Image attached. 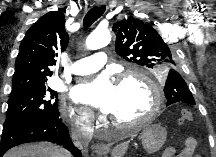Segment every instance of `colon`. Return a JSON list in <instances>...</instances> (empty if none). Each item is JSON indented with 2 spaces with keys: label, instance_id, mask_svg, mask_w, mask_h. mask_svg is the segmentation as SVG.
Listing matches in <instances>:
<instances>
[{
  "label": "colon",
  "instance_id": "5ec220e1",
  "mask_svg": "<svg viewBox=\"0 0 216 157\" xmlns=\"http://www.w3.org/2000/svg\"><path fill=\"white\" fill-rule=\"evenodd\" d=\"M192 120V114L189 110L183 109L178 117L179 124H186Z\"/></svg>",
  "mask_w": 216,
  "mask_h": 157
}]
</instances>
